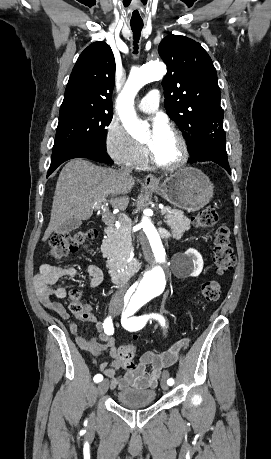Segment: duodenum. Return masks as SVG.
Instances as JSON below:
<instances>
[{"label":"duodenum","instance_id":"duodenum-1","mask_svg":"<svg viewBox=\"0 0 271 459\" xmlns=\"http://www.w3.org/2000/svg\"><path fill=\"white\" fill-rule=\"evenodd\" d=\"M113 230L114 222L112 220H107L105 222L104 232L106 234H111ZM139 267L140 263L137 260H134L125 271H114L111 275L112 283L118 286L125 285L138 271Z\"/></svg>","mask_w":271,"mask_h":459}]
</instances>
